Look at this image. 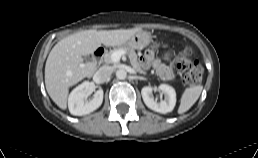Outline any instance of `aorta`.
I'll use <instances>...</instances> for the list:
<instances>
[{"instance_id": "762f6f07", "label": "aorta", "mask_w": 258, "mask_h": 158, "mask_svg": "<svg viewBox=\"0 0 258 158\" xmlns=\"http://www.w3.org/2000/svg\"><path fill=\"white\" fill-rule=\"evenodd\" d=\"M116 77L120 80H123L127 77V72L124 69H118L116 71Z\"/></svg>"}]
</instances>
